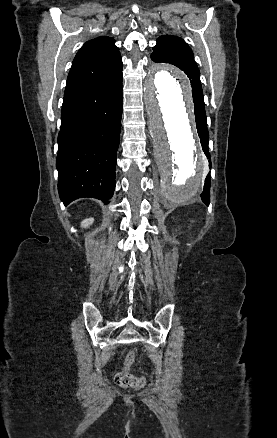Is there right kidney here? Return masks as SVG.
<instances>
[{"label":"right kidney","instance_id":"right-kidney-1","mask_svg":"<svg viewBox=\"0 0 277 438\" xmlns=\"http://www.w3.org/2000/svg\"><path fill=\"white\" fill-rule=\"evenodd\" d=\"M93 222L94 218H86V220H83V222H81V228H88V226H91Z\"/></svg>","mask_w":277,"mask_h":438}]
</instances>
